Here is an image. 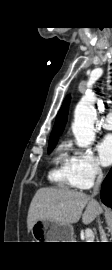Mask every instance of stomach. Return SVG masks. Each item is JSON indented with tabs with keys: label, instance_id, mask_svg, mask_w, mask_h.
<instances>
[{
	"label": "stomach",
	"instance_id": "obj_1",
	"mask_svg": "<svg viewBox=\"0 0 112 270\" xmlns=\"http://www.w3.org/2000/svg\"><path fill=\"white\" fill-rule=\"evenodd\" d=\"M35 242H73V226L54 221H37L31 228Z\"/></svg>",
	"mask_w": 112,
	"mask_h": 270
}]
</instances>
